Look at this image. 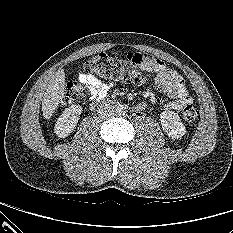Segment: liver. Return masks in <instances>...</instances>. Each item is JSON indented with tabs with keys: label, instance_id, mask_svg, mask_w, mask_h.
<instances>
[{
	"label": "liver",
	"instance_id": "obj_1",
	"mask_svg": "<svg viewBox=\"0 0 233 233\" xmlns=\"http://www.w3.org/2000/svg\"><path fill=\"white\" fill-rule=\"evenodd\" d=\"M65 94V72L59 69L55 76L50 80L42 100V112L45 119H50L59 101Z\"/></svg>",
	"mask_w": 233,
	"mask_h": 233
}]
</instances>
